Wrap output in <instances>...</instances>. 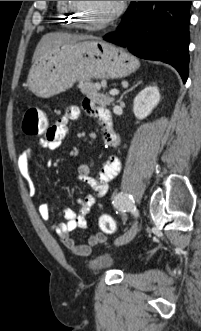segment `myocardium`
<instances>
[{"label": "myocardium", "instance_id": "f54148a6", "mask_svg": "<svg viewBox=\"0 0 201 331\" xmlns=\"http://www.w3.org/2000/svg\"><path fill=\"white\" fill-rule=\"evenodd\" d=\"M70 7L76 13V17L79 19L80 23L92 27H105L114 22L122 14L125 7V1H118L114 11L96 24H91L83 17L81 6L78 1H70Z\"/></svg>", "mask_w": 201, "mask_h": 331}]
</instances>
